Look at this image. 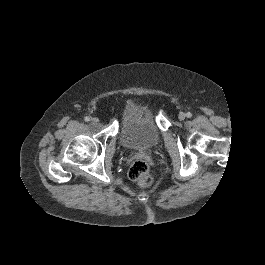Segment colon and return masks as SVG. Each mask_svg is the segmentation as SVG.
Here are the masks:
<instances>
[{"label":"colon","instance_id":"obj_1","mask_svg":"<svg viewBox=\"0 0 265 265\" xmlns=\"http://www.w3.org/2000/svg\"><path fill=\"white\" fill-rule=\"evenodd\" d=\"M131 180L136 182L140 187L147 188L151 186L153 177L150 173L149 165L143 160L135 161L128 172Z\"/></svg>","mask_w":265,"mask_h":265}]
</instances>
